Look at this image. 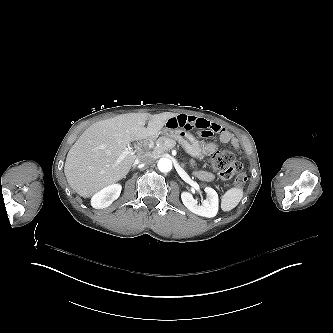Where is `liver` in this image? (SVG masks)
Wrapping results in <instances>:
<instances>
[{
    "label": "liver",
    "mask_w": 333,
    "mask_h": 333,
    "mask_svg": "<svg viewBox=\"0 0 333 333\" xmlns=\"http://www.w3.org/2000/svg\"><path fill=\"white\" fill-rule=\"evenodd\" d=\"M177 113H127L89 126L69 150L64 174L68 185L84 198L122 180L139 156L129 154L119 166L112 164L136 140L158 137ZM146 121L148 126L145 128Z\"/></svg>",
    "instance_id": "1"
}]
</instances>
